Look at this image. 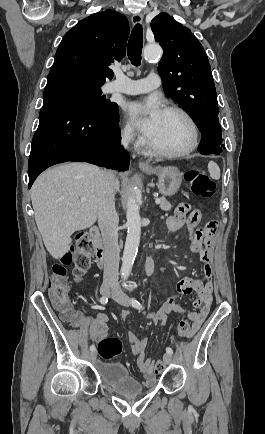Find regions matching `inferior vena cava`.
<instances>
[{"label":"inferior vena cava","instance_id":"inferior-vena-cava-1","mask_svg":"<svg viewBox=\"0 0 265 434\" xmlns=\"http://www.w3.org/2000/svg\"><path fill=\"white\" fill-rule=\"evenodd\" d=\"M129 134L123 136V146H128ZM96 188L101 196L98 212V226L104 246V280L118 282L119 246L115 210V178L113 172L101 170L97 176Z\"/></svg>","mask_w":265,"mask_h":434}]
</instances>
